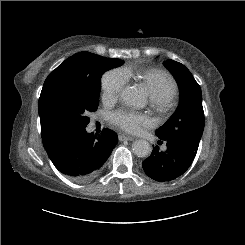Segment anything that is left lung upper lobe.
<instances>
[{
	"mask_svg": "<svg viewBox=\"0 0 245 245\" xmlns=\"http://www.w3.org/2000/svg\"><path fill=\"white\" fill-rule=\"evenodd\" d=\"M175 76L180 87V104L169 120L156 130V135L165 140L185 141L198 149L204 129L202 94L190 71L174 60L164 62Z\"/></svg>",
	"mask_w": 245,
	"mask_h": 245,
	"instance_id": "left-lung-upper-lobe-1",
	"label": "left lung upper lobe"
}]
</instances>
